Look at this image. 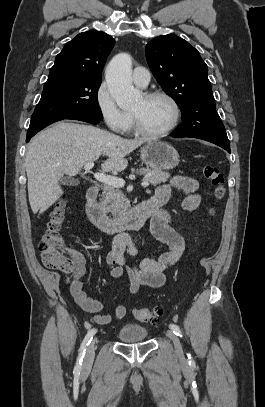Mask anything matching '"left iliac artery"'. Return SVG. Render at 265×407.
<instances>
[{
	"label": "left iliac artery",
	"instance_id": "44dca946",
	"mask_svg": "<svg viewBox=\"0 0 265 407\" xmlns=\"http://www.w3.org/2000/svg\"><path fill=\"white\" fill-rule=\"evenodd\" d=\"M170 328L177 336L182 337L181 330L176 324H170ZM188 358L191 360L190 354L188 355Z\"/></svg>",
	"mask_w": 265,
	"mask_h": 407
}]
</instances>
